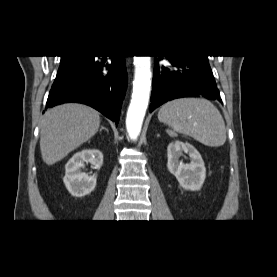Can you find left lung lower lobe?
Here are the masks:
<instances>
[{
    "label": "left lung lower lobe",
    "mask_w": 277,
    "mask_h": 277,
    "mask_svg": "<svg viewBox=\"0 0 277 277\" xmlns=\"http://www.w3.org/2000/svg\"><path fill=\"white\" fill-rule=\"evenodd\" d=\"M165 57L170 66H159L155 61L150 112L169 100L181 97H204L221 102L207 56Z\"/></svg>",
    "instance_id": "obj_1"
}]
</instances>
